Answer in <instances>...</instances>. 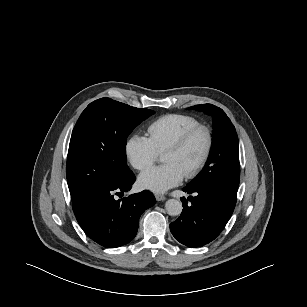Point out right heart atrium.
Wrapping results in <instances>:
<instances>
[{
    "instance_id": "d8ad5b80",
    "label": "right heart atrium",
    "mask_w": 307,
    "mask_h": 307,
    "mask_svg": "<svg viewBox=\"0 0 307 307\" xmlns=\"http://www.w3.org/2000/svg\"><path fill=\"white\" fill-rule=\"evenodd\" d=\"M126 154L131 165L139 171L150 167L158 158V153L149 139L136 134L128 138Z\"/></svg>"
}]
</instances>
